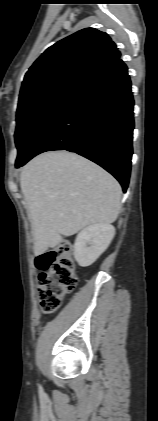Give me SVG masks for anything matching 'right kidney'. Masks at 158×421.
Wrapping results in <instances>:
<instances>
[{
    "mask_svg": "<svg viewBox=\"0 0 158 421\" xmlns=\"http://www.w3.org/2000/svg\"><path fill=\"white\" fill-rule=\"evenodd\" d=\"M115 235L110 224H93L84 228L76 237L74 258L82 267L93 264L108 248Z\"/></svg>",
    "mask_w": 158,
    "mask_h": 421,
    "instance_id": "right-kidney-1",
    "label": "right kidney"
}]
</instances>
